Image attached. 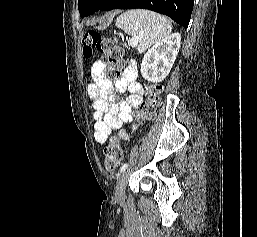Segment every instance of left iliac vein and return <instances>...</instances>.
<instances>
[{
	"label": "left iliac vein",
	"instance_id": "4c4485c4",
	"mask_svg": "<svg viewBox=\"0 0 257 237\" xmlns=\"http://www.w3.org/2000/svg\"><path fill=\"white\" fill-rule=\"evenodd\" d=\"M128 177H129V171L127 170L123 172L117 180L116 189H115V199L119 202L125 199V188L128 181Z\"/></svg>",
	"mask_w": 257,
	"mask_h": 237
}]
</instances>
